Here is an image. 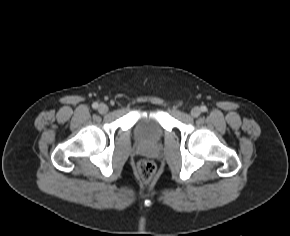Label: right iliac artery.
I'll return each mask as SVG.
<instances>
[{
    "instance_id": "82829eb1",
    "label": "right iliac artery",
    "mask_w": 290,
    "mask_h": 236,
    "mask_svg": "<svg viewBox=\"0 0 290 236\" xmlns=\"http://www.w3.org/2000/svg\"><path fill=\"white\" fill-rule=\"evenodd\" d=\"M92 107H93L94 109L98 108V103H97V102L93 103V104H92Z\"/></svg>"
}]
</instances>
